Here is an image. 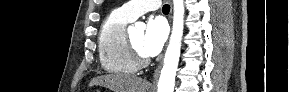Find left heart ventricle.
<instances>
[{
  "label": "left heart ventricle",
  "instance_id": "left-heart-ventricle-1",
  "mask_svg": "<svg viewBox=\"0 0 289 92\" xmlns=\"http://www.w3.org/2000/svg\"><path fill=\"white\" fill-rule=\"evenodd\" d=\"M130 38L134 44V46L140 51L143 55V39H144V31H136L130 35Z\"/></svg>",
  "mask_w": 289,
  "mask_h": 92
}]
</instances>
